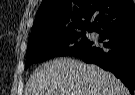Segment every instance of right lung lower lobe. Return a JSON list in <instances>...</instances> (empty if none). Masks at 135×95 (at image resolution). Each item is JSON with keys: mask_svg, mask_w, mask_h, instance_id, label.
I'll use <instances>...</instances> for the list:
<instances>
[{"mask_svg": "<svg viewBox=\"0 0 135 95\" xmlns=\"http://www.w3.org/2000/svg\"><path fill=\"white\" fill-rule=\"evenodd\" d=\"M95 31L99 33V42L91 41L89 45L72 56L112 72L133 94L135 85V14L107 21Z\"/></svg>", "mask_w": 135, "mask_h": 95, "instance_id": "right-lung-lower-lobe-1", "label": "right lung lower lobe"}]
</instances>
